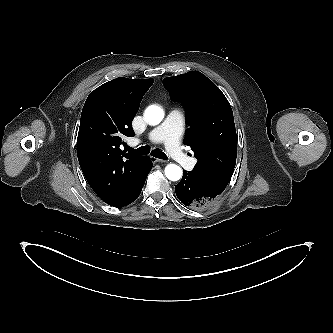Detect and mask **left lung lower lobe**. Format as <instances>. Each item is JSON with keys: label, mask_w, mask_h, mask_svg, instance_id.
<instances>
[{"label": "left lung lower lobe", "mask_w": 333, "mask_h": 333, "mask_svg": "<svg viewBox=\"0 0 333 333\" xmlns=\"http://www.w3.org/2000/svg\"><path fill=\"white\" fill-rule=\"evenodd\" d=\"M178 199L186 206L204 209L211 206L220 193L215 189L198 182L190 172L184 171L179 184L175 185Z\"/></svg>", "instance_id": "0a47b994"}]
</instances>
